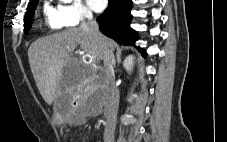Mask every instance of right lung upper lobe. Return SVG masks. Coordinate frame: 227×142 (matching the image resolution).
<instances>
[{
	"label": "right lung upper lobe",
	"instance_id": "obj_1",
	"mask_svg": "<svg viewBox=\"0 0 227 142\" xmlns=\"http://www.w3.org/2000/svg\"><path fill=\"white\" fill-rule=\"evenodd\" d=\"M34 1H36V0H31V2H30V3L34 2Z\"/></svg>",
	"mask_w": 227,
	"mask_h": 142
}]
</instances>
